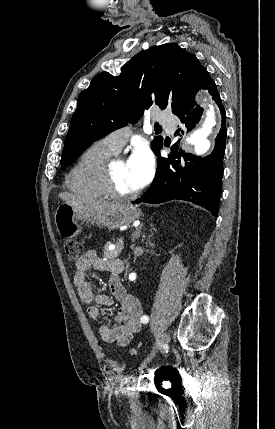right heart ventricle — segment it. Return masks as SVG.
<instances>
[{
  "label": "right heart ventricle",
  "instance_id": "e07e8e85",
  "mask_svg": "<svg viewBox=\"0 0 275 429\" xmlns=\"http://www.w3.org/2000/svg\"><path fill=\"white\" fill-rule=\"evenodd\" d=\"M113 154L115 152L101 141L88 147L69 174L68 188L90 199L108 197L105 190V167Z\"/></svg>",
  "mask_w": 275,
  "mask_h": 429
}]
</instances>
